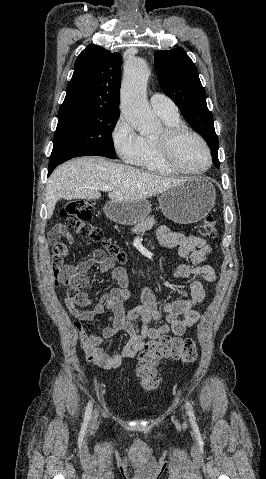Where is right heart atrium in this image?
Returning a JSON list of instances; mask_svg holds the SVG:
<instances>
[{
	"label": "right heart atrium",
	"instance_id": "d8ad5b80",
	"mask_svg": "<svg viewBox=\"0 0 266 479\" xmlns=\"http://www.w3.org/2000/svg\"><path fill=\"white\" fill-rule=\"evenodd\" d=\"M111 140L116 153L125 162L134 163L142 151V137L123 115L111 131Z\"/></svg>",
	"mask_w": 266,
	"mask_h": 479
}]
</instances>
